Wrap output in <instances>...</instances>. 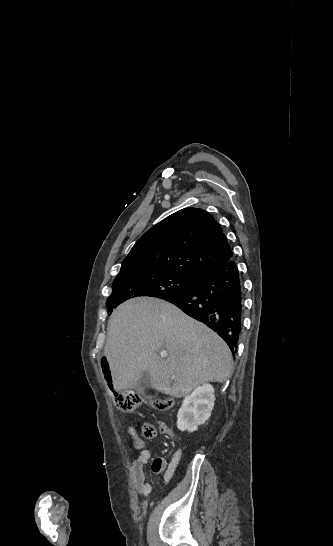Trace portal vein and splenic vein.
Returning a JSON list of instances; mask_svg holds the SVG:
<instances>
[{
    "mask_svg": "<svg viewBox=\"0 0 333 546\" xmlns=\"http://www.w3.org/2000/svg\"><path fill=\"white\" fill-rule=\"evenodd\" d=\"M161 356H162L163 358H166L168 355H167L166 352H162V353H161Z\"/></svg>",
    "mask_w": 333,
    "mask_h": 546,
    "instance_id": "portal-vein-and-splenic-vein-1",
    "label": "portal vein and splenic vein"
}]
</instances>
